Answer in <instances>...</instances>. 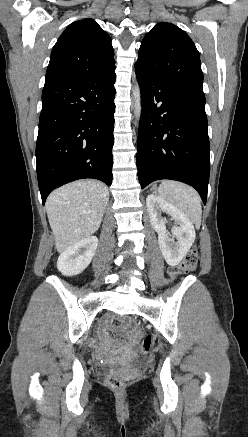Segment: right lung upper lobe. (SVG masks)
I'll list each match as a JSON object with an SVG mask.
<instances>
[{"instance_id":"right-lung-upper-lobe-1","label":"right lung upper lobe","mask_w":248,"mask_h":437,"mask_svg":"<svg viewBox=\"0 0 248 437\" xmlns=\"http://www.w3.org/2000/svg\"><path fill=\"white\" fill-rule=\"evenodd\" d=\"M114 66L111 38L93 19L86 18L70 24L59 37L46 80L90 77Z\"/></svg>"}]
</instances>
